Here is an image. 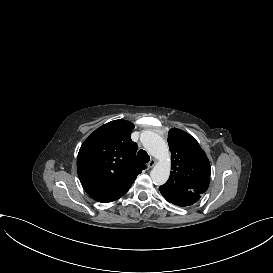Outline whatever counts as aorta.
I'll return each instance as SVG.
<instances>
[{
	"instance_id": "aorta-1",
	"label": "aorta",
	"mask_w": 273,
	"mask_h": 273,
	"mask_svg": "<svg viewBox=\"0 0 273 273\" xmlns=\"http://www.w3.org/2000/svg\"><path fill=\"white\" fill-rule=\"evenodd\" d=\"M143 146L153 157L158 159V163L150 172L152 181L156 185H163L170 175V152L166 142L156 133L147 132L143 136Z\"/></svg>"
}]
</instances>
